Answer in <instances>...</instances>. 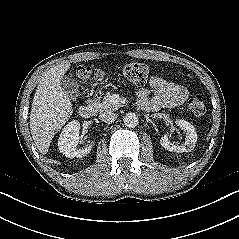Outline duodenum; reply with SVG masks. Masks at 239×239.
<instances>
[{
	"instance_id": "duodenum-1",
	"label": "duodenum",
	"mask_w": 239,
	"mask_h": 239,
	"mask_svg": "<svg viewBox=\"0 0 239 239\" xmlns=\"http://www.w3.org/2000/svg\"><path fill=\"white\" fill-rule=\"evenodd\" d=\"M95 106L92 102L88 101L79 108V114L83 118H91L94 115Z\"/></svg>"
}]
</instances>
